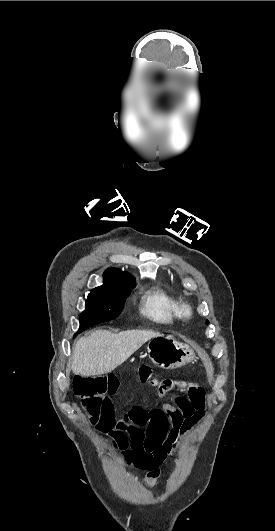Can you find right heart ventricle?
<instances>
[{
  "label": "right heart ventricle",
  "mask_w": 275,
  "mask_h": 531,
  "mask_svg": "<svg viewBox=\"0 0 275 531\" xmlns=\"http://www.w3.org/2000/svg\"><path fill=\"white\" fill-rule=\"evenodd\" d=\"M177 304V299L159 284L148 286L142 295V312L159 323H173L178 318Z\"/></svg>",
  "instance_id": "right-heart-ventricle-1"
}]
</instances>
